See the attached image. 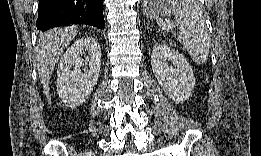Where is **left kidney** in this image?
Instances as JSON below:
<instances>
[{
	"label": "left kidney",
	"instance_id": "obj_1",
	"mask_svg": "<svg viewBox=\"0 0 261 156\" xmlns=\"http://www.w3.org/2000/svg\"><path fill=\"white\" fill-rule=\"evenodd\" d=\"M151 66L158 83L175 102H183L191 96L195 77L181 53L167 45H158L152 51Z\"/></svg>",
	"mask_w": 261,
	"mask_h": 156
}]
</instances>
